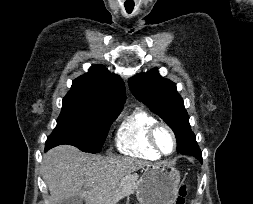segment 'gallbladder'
I'll use <instances>...</instances> for the list:
<instances>
[{
    "instance_id": "obj_1",
    "label": "gallbladder",
    "mask_w": 253,
    "mask_h": 204,
    "mask_svg": "<svg viewBox=\"0 0 253 204\" xmlns=\"http://www.w3.org/2000/svg\"><path fill=\"white\" fill-rule=\"evenodd\" d=\"M60 204H83V199L80 196H76L69 199H65Z\"/></svg>"
}]
</instances>
